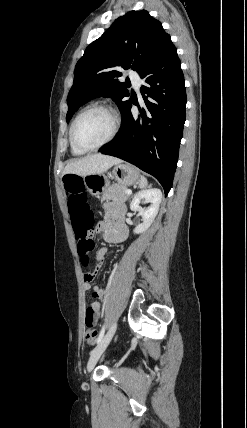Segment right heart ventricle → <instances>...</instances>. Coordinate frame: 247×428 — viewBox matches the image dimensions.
I'll return each mask as SVG.
<instances>
[{"label": "right heart ventricle", "instance_id": "right-heart-ventricle-1", "mask_svg": "<svg viewBox=\"0 0 247 428\" xmlns=\"http://www.w3.org/2000/svg\"><path fill=\"white\" fill-rule=\"evenodd\" d=\"M70 147H71V151L74 155H83L85 153V151L79 150L78 148H76L75 146H73V144L70 141Z\"/></svg>", "mask_w": 247, "mask_h": 428}]
</instances>
